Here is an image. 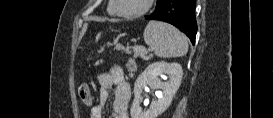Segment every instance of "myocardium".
Here are the masks:
<instances>
[{"label":"myocardium","instance_id":"f54148a6","mask_svg":"<svg viewBox=\"0 0 273 118\" xmlns=\"http://www.w3.org/2000/svg\"><path fill=\"white\" fill-rule=\"evenodd\" d=\"M118 1L119 0H112L111 1V8L113 10V13H115L116 15H118L120 17L130 19V18L140 17V16L146 14L150 10L154 0H146V4H145L144 8L138 12H133V13H126V12L120 11L118 8Z\"/></svg>","mask_w":273,"mask_h":118}]
</instances>
